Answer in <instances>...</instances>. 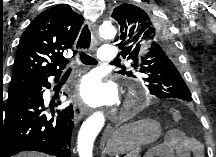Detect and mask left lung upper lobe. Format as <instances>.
Returning <instances> with one entry per match:
<instances>
[{"instance_id":"left-lung-upper-lobe-1","label":"left lung upper lobe","mask_w":216,"mask_h":157,"mask_svg":"<svg viewBox=\"0 0 216 157\" xmlns=\"http://www.w3.org/2000/svg\"><path fill=\"white\" fill-rule=\"evenodd\" d=\"M111 16L120 26L115 41L119 42L121 54L142 77L148 91L159 99L191 101L181 64H177V48L162 19L132 4L116 7Z\"/></svg>"}]
</instances>
